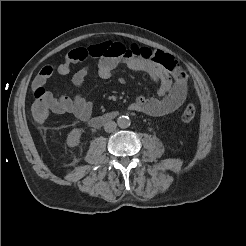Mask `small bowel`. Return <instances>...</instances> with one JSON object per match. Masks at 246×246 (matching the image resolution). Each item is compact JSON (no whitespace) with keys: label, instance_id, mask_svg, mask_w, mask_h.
<instances>
[{"label":"small bowel","instance_id":"obj_1","mask_svg":"<svg viewBox=\"0 0 246 246\" xmlns=\"http://www.w3.org/2000/svg\"><path fill=\"white\" fill-rule=\"evenodd\" d=\"M138 52L137 46H127L116 41L76 47L67 53L62 63L44 66L33 80L32 88L35 91L37 88L43 87L54 74L68 75L72 65L77 63L96 60L98 75L103 79L111 78L116 68L123 63L132 71L148 74L158 85L154 96L136 97L129 106L131 110L151 116H164L174 112L186 99L187 81L176 82L162 65L141 58ZM89 70L90 67L85 65L73 74L71 81L78 90L73 97L62 95L58 91L46 92L53 113L72 114L82 121L90 118L93 109L92 103L80 93Z\"/></svg>","mask_w":246,"mask_h":246}]
</instances>
